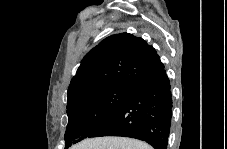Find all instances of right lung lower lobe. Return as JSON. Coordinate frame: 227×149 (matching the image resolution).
Wrapping results in <instances>:
<instances>
[{
	"label": "right lung lower lobe",
	"mask_w": 227,
	"mask_h": 149,
	"mask_svg": "<svg viewBox=\"0 0 227 149\" xmlns=\"http://www.w3.org/2000/svg\"><path fill=\"white\" fill-rule=\"evenodd\" d=\"M170 81L164 68L134 88L126 101L88 138L123 136L167 149L172 118Z\"/></svg>",
	"instance_id": "obj_1"
}]
</instances>
